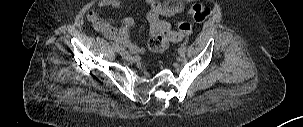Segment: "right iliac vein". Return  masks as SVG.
I'll return each instance as SVG.
<instances>
[{
    "instance_id": "1",
    "label": "right iliac vein",
    "mask_w": 303,
    "mask_h": 127,
    "mask_svg": "<svg viewBox=\"0 0 303 127\" xmlns=\"http://www.w3.org/2000/svg\"><path fill=\"white\" fill-rule=\"evenodd\" d=\"M120 55H121L124 59H130V58H131L130 54H129L125 49L120 50Z\"/></svg>"
}]
</instances>
